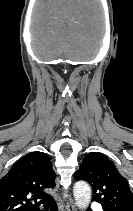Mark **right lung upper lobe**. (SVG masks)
I'll return each mask as SVG.
<instances>
[{"label": "right lung upper lobe", "mask_w": 133, "mask_h": 211, "mask_svg": "<svg viewBox=\"0 0 133 211\" xmlns=\"http://www.w3.org/2000/svg\"><path fill=\"white\" fill-rule=\"evenodd\" d=\"M55 177L47 154L23 156L0 180V211H38L41 203L53 200L44 189L55 187Z\"/></svg>", "instance_id": "right-lung-upper-lobe-1"}]
</instances>
